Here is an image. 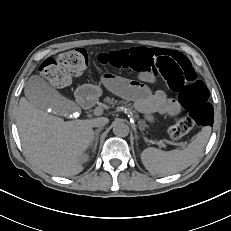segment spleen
<instances>
[{
  "instance_id": "3e777b00",
  "label": "spleen",
  "mask_w": 231,
  "mask_h": 231,
  "mask_svg": "<svg viewBox=\"0 0 231 231\" xmlns=\"http://www.w3.org/2000/svg\"><path fill=\"white\" fill-rule=\"evenodd\" d=\"M211 134V127L205 126L182 150L161 151L147 148L141 153V160L151 174L171 175L185 170L202 154Z\"/></svg>"
}]
</instances>
